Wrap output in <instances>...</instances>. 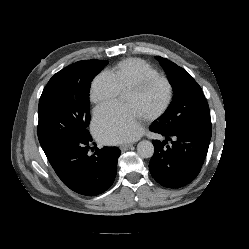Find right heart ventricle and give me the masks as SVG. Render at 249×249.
Returning a JSON list of instances; mask_svg holds the SVG:
<instances>
[{"instance_id":"right-heart-ventricle-1","label":"right heart ventricle","mask_w":249,"mask_h":249,"mask_svg":"<svg viewBox=\"0 0 249 249\" xmlns=\"http://www.w3.org/2000/svg\"><path fill=\"white\" fill-rule=\"evenodd\" d=\"M109 74L115 79L121 91H126L138 81L159 75V72L148 62L139 58H128L119 62Z\"/></svg>"}]
</instances>
